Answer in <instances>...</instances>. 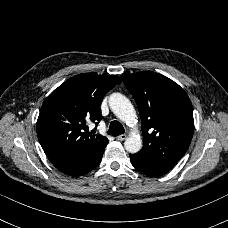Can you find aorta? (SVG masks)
Segmentation results:
<instances>
[{"instance_id":"aorta-1","label":"aorta","mask_w":228,"mask_h":228,"mask_svg":"<svg viewBox=\"0 0 228 228\" xmlns=\"http://www.w3.org/2000/svg\"><path fill=\"white\" fill-rule=\"evenodd\" d=\"M109 106L117 118L127 125L137 123L136 111L131 101L121 93H112L109 96ZM124 147L129 153H137L142 148V139L139 134L132 133L124 142Z\"/></svg>"}]
</instances>
